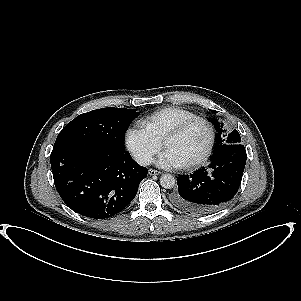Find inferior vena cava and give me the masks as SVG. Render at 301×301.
Masks as SVG:
<instances>
[{"label": "inferior vena cava", "instance_id": "1", "mask_svg": "<svg viewBox=\"0 0 301 301\" xmlns=\"http://www.w3.org/2000/svg\"><path fill=\"white\" fill-rule=\"evenodd\" d=\"M134 159L141 166H147L152 162V157L147 154H138Z\"/></svg>", "mask_w": 301, "mask_h": 301}]
</instances>
